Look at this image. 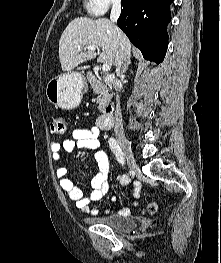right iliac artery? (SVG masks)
<instances>
[{
	"mask_svg": "<svg viewBox=\"0 0 221 263\" xmlns=\"http://www.w3.org/2000/svg\"><path fill=\"white\" fill-rule=\"evenodd\" d=\"M109 145H110L111 150L115 154L118 162L120 164L124 165L125 164V159H124V156H123V152H122L120 146L117 144V142H116V140L114 138H110L109 139Z\"/></svg>",
	"mask_w": 221,
	"mask_h": 263,
	"instance_id": "1",
	"label": "right iliac artery"
}]
</instances>
